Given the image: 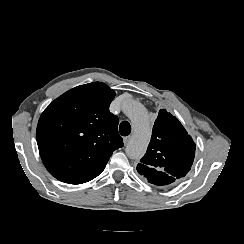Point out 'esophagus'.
Instances as JSON below:
<instances>
[{
  "mask_svg": "<svg viewBox=\"0 0 244 244\" xmlns=\"http://www.w3.org/2000/svg\"><path fill=\"white\" fill-rule=\"evenodd\" d=\"M131 140V136H126L123 139L124 145L127 146Z\"/></svg>",
  "mask_w": 244,
  "mask_h": 244,
  "instance_id": "esophagus-1",
  "label": "esophagus"
}]
</instances>
